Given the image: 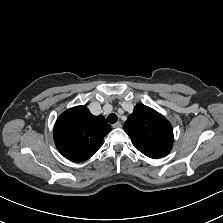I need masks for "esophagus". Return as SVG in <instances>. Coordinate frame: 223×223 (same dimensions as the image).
Wrapping results in <instances>:
<instances>
[{
	"label": "esophagus",
	"instance_id": "1",
	"mask_svg": "<svg viewBox=\"0 0 223 223\" xmlns=\"http://www.w3.org/2000/svg\"><path fill=\"white\" fill-rule=\"evenodd\" d=\"M122 126L121 122H116L112 125L113 128H120Z\"/></svg>",
	"mask_w": 223,
	"mask_h": 223
}]
</instances>
